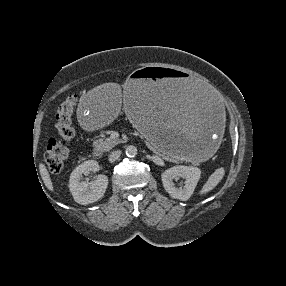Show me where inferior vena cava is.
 I'll return each instance as SVG.
<instances>
[{"mask_svg": "<svg viewBox=\"0 0 286 286\" xmlns=\"http://www.w3.org/2000/svg\"><path fill=\"white\" fill-rule=\"evenodd\" d=\"M121 155V151L120 150H116L110 153L109 155V161L110 162H114L116 161Z\"/></svg>", "mask_w": 286, "mask_h": 286, "instance_id": "obj_1", "label": "inferior vena cava"}]
</instances>
